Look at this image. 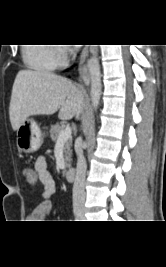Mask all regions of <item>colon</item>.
Instances as JSON below:
<instances>
[{"label": "colon", "instance_id": "colon-1", "mask_svg": "<svg viewBox=\"0 0 166 267\" xmlns=\"http://www.w3.org/2000/svg\"><path fill=\"white\" fill-rule=\"evenodd\" d=\"M24 181L29 182L30 185H39V178L37 177V171L34 169H23Z\"/></svg>", "mask_w": 166, "mask_h": 267}]
</instances>
